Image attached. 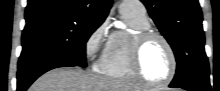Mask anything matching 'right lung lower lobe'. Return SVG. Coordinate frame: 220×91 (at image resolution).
Here are the masks:
<instances>
[{
    "label": "right lung lower lobe",
    "instance_id": "obj_1",
    "mask_svg": "<svg viewBox=\"0 0 220 91\" xmlns=\"http://www.w3.org/2000/svg\"><path fill=\"white\" fill-rule=\"evenodd\" d=\"M78 66L75 62L60 57L45 58L18 67L17 91H25L40 75L58 67Z\"/></svg>",
    "mask_w": 220,
    "mask_h": 91
}]
</instances>
